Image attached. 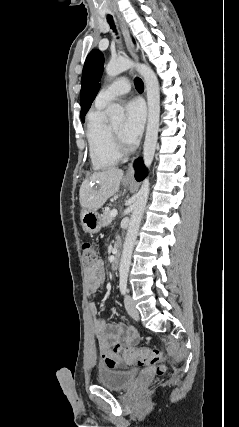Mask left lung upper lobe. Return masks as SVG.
I'll list each match as a JSON object with an SVG mask.
<instances>
[{
    "label": "left lung upper lobe",
    "mask_w": 239,
    "mask_h": 427,
    "mask_svg": "<svg viewBox=\"0 0 239 427\" xmlns=\"http://www.w3.org/2000/svg\"><path fill=\"white\" fill-rule=\"evenodd\" d=\"M103 62V54L97 49L92 50L86 58L80 91V116L82 121H84L86 112L90 108L101 86L99 82L103 72Z\"/></svg>",
    "instance_id": "1"
}]
</instances>
